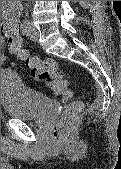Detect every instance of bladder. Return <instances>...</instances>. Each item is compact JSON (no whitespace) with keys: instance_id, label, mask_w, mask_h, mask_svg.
<instances>
[{"instance_id":"obj_1","label":"bladder","mask_w":121,"mask_h":169,"mask_svg":"<svg viewBox=\"0 0 121 169\" xmlns=\"http://www.w3.org/2000/svg\"><path fill=\"white\" fill-rule=\"evenodd\" d=\"M1 104L6 116L25 121L44 118L53 106L51 98L8 70L1 72Z\"/></svg>"}]
</instances>
